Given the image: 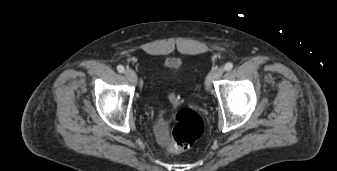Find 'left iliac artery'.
<instances>
[{"label": "left iliac artery", "mask_w": 337, "mask_h": 171, "mask_svg": "<svg viewBox=\"0 0 337 171\" xmlns=\"http://www.w3.org/2000/svg\"><path fill=\"white\" fill-rule=\"evenodd\" d=\"M232 68H233V63L231 62L226 63L224 66L225 71H230Z\"/></svg>", "instance_id": "left-iliac-artery-1"}]
</instances>
